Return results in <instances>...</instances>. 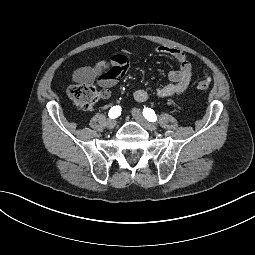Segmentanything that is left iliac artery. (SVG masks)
Segmentation results:
<instances>
[{"label":"left iliac artery","instance_id":"44dca946","mask_svg":"<svg viewBox=\"0 0 255 255\" xmlns=\"http://www.w3.org/2000/svg\"><path fill=\"white\" fill-rule=\"evenodd\" d=\"M143 116L150 122H155L157 120L156 114L151 108H144Z\"/></svg>","mask_w":255,"mask_h":255}]
</instances>
